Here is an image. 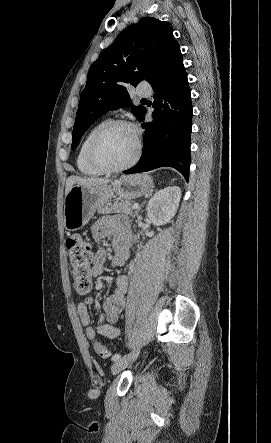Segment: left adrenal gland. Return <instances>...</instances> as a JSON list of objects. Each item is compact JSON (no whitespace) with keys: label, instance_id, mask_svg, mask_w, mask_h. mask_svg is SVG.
<instances>
[{"label":"left adrenal gland","instance_id":"1","mask_svg":"<svg viewBox=\"0 0 271 443\" xmlns=\"http://www.w3.org/2000/svg\"><path fill=\"white\" fill-rule=\"evenodd\" d=\"M140 210H141V208H138V212H140ZM138 212H137V214H138Z\"/></svg>","mask_w":271,"mask_h":443}]
</instances>
